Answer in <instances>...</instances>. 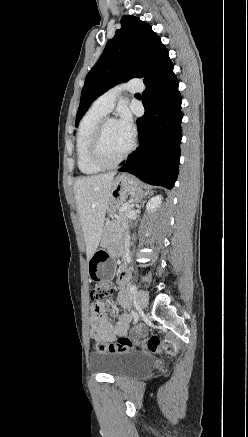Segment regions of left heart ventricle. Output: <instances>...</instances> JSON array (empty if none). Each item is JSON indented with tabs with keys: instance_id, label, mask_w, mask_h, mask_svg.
I'll return each instance as SVG.
<instances>
[{
	"instance_id": "b2bd125f",
	"label": "left heart ventricle",
	"mask_w": 248,
	"mask_h": 437,
	"mask_svg": "<svg viewBox=\"0 0 248 437\" xmlns=\"http://www.w3.org/2000/svg\"><path fill=\"white\" fill-rule=\"evenodd\" d=\"M128 139L119 129L116 121H110L105 128L102 140V154L108 161L118 158L129 146Z\"/></svg>"
}]
</instances>
